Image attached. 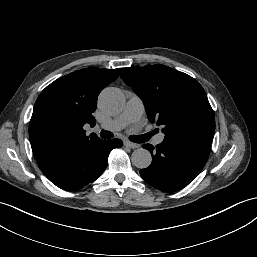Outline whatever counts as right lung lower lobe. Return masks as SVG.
Here are the masks:
<instances>
[{
	"label": "right lung lower lobe",
	"mask_w": 257,
	"mask_h": 257,
	"mask_svg": "<svg viewBox=\"0 0 257 257\" xmlns=\"http://www.w3.org/2000/svg\"><path fill=\"white\" fill-rule=\"evenodd\" d=\"M122 146L120 139L91 141L75 150L60 153L38 163L43 174L57 187L74 191L95 181L107 166L112 149Z\"/></svg>",
	"instance_id": "98d812e1"
}]
</instances>
